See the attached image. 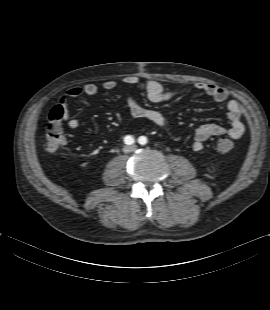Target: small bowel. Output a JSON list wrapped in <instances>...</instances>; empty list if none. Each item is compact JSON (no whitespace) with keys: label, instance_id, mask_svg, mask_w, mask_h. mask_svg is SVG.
<instances>
[{"label":"small bowel","instance_id":"obj_1","mask_svg":"<svg viewBox=\"0 0 270 310\" xmlns=\"http://www.w3.org/2000/svg\"><path fill=\"white\" fill-rule=\"evenodd\" d=\"M123 82L128 85H136L141 82L137 76H127ZM117 83L113 80L103 82L102 87L105 90H113ZM143 88L147 98L155 103H164L171 101L181 95V91L166 90L159 82L153 79L143 81ZM195 88L203 94L210 97L217 103H225L227 117L229 119V127H224L215 123H208L199 126L194 133L192 149L200 151L203 144L211 137L228 135L232 139H239L245 131L244 124L241 121L243 111L239 102L231 99L228 91L220 86L209 83H196ZM99 93V87L94 83H85L82 86H75L68 89L60 98L58 106L63 110V120L67 122L69 128L77 129L80 127V122L77 119L70 118L69 109L67 106L68 100L77 98L81 95L95 96ZM127 106L130 114L135 118L146 119L160 128H166L168 121L164 114L155 109L143 107L135 95L129 94L127 97Z\"/></svg>","mask_w":270,"mask_h":310}]
</instances>
